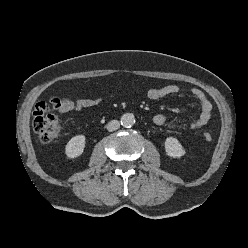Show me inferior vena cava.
Masks as SVG:
<instances>
[{
    "mask_svg": "<svg viewBox=\"0 0 248 248\" xmlns=\"http://www.w3.org/2000/svg\"><path fill=\"white\" fill-rule=\"evenodd\" d=\"M120 123L118 120H112L107 124V130L112 132L119 129Z\"/></svg>",
    "mask_w": 248,
    "mask_h": 248,
    "instance_id": "obj_1",
    "label": "inferior vena cava"
}]
</instances>
